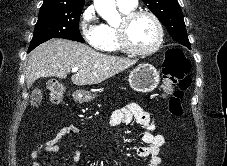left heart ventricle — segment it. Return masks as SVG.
Segmentation results:
<instances>
[{
  "label": "left heart ventricle",
  "mask_w": 227,
  "mask_h": 166,
  "mask_svg": "<svg viewBox=\"0 0 227 166\" xmlns=\"http://www.w3.org/2000/svg\"><path fill=\"white\" fill-rule=\"evenodd\" d=\"M156 36L155 24L148 16L136 18L127 28V39L136 48H149L155 42Z\"/></svg>",
  "instance_id": "obj_1"
}]
</instances>
